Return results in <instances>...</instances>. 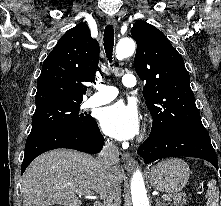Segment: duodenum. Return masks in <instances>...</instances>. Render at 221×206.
<instances>
[{
    "label": "duodenum",
    "mask_w": 221,
    "mask_h": 206,
    "mask_svg": "<svg viewBox=\"0 0 221 206\" xmlns=\"http://www.w3.org/2000/svg\"><path fill=\"white\" fill-rule=\"evenodd\" d=\"M94 206H102L101 204H95Z\"/></svg>",
    "instance_id": "obj_1"
}]
</instances>
